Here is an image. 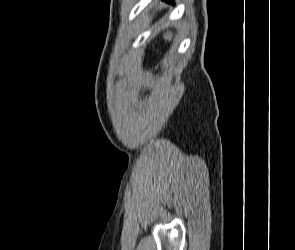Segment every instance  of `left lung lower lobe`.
<instances>
[{"mask_svg":"<svg viewBox=\"0 0 295 250\" xmlns=\"http://www.w3.org/2000/svg\"><path fill=\"white\" fill-rule=\"evenodd\" d=\"M166 2H171L172 4H174L173 0H164Z\"/></svg>","mask_w":295,"mask_h":250,"instance_id":"left-lung-lower-lobe-1","label":"left lung lower lobe"}]
</instances>
